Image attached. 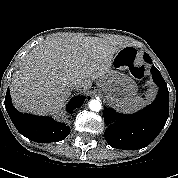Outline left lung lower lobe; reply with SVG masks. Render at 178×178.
I'll use <instances>...</instances> for the list:
<instances>
[{
    "instance_id": "1",
    "label": "left lung lower lobe",
    "mask_w": 178,
    "mask_h": 178,
    "mask_svg": "<svg viewBox=\"0 0 178 178\" xmlns=\"http://www.w3.org/2000/svg\"><path fill=\"white\" fill-rule=\"evenodd\" d=\"M144 60L152 64L148 54ZM151 73L159 87L158 95L151 105L132 115L116 114L104 107V121L107 125L116 120L105 131V139L113 148L137 150L148 146L161 132L169 115V91L165 80L157 68L152 65Z\"/></svg>"
}]
</instances>
